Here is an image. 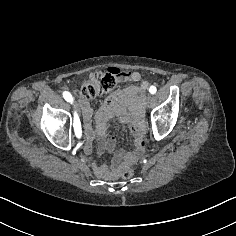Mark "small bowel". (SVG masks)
Instances as JSON below:
<instances>
[{
	"label": "small bowel",
	"instance_id": "small-bowel-1",
	"mask_svg": "<svg viewBox=\"0 0 236 236\" xmlns=\"http://www.w3.org/2000/svg\"><path fill=\"white\" fill-rule=\"evenodd\" d=\"M117 71L119 80L135 81L140 82V84L131 85L111 93L95 114V128L92 126L93 109L91 104L86 99L80 100L86 136L84 144L86 153L92 152L94 138L98 140L99 154L114 149L115 138L107 133V123L110 119L126 125L134 138V150L129 153L122 150L117 151L111 166L92 163L96 175L104 179L114 178L123 167L135 162L145 150L144 100L148 83L141 80V75L138 72Z\"/></svg>",
	"mask_w": 236,
	"mask_h": 236
}]
</instances>
